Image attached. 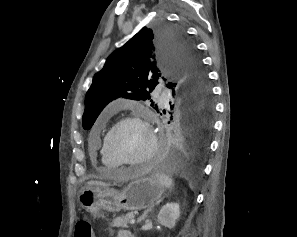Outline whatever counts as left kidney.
Returning a JSON list of instances; mask_svg holds the SVG:
<instances>
[{"instance_id":"obj_1","label":"left kidney","mask_w":297,"mask_h":237,"mask_svg":"<svg viewBox=\"0 0 297 237\" xmlns=\"http://www.w3.org/2000/svg\"><path fill=\"white\" fill-rule=\"evenodd\" d=\"M180 217V207L178 203H167L164 205L157 216L158 222L169 228L173 229L177 220Z\"/></svg>"}]
</instances>
